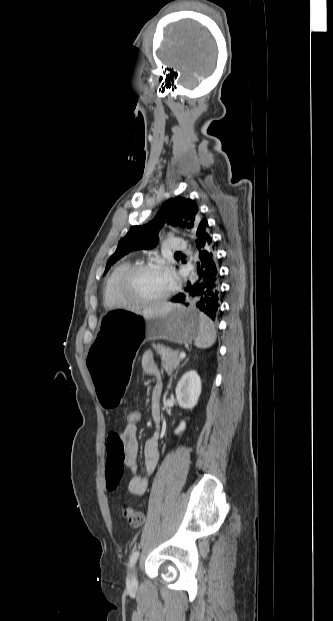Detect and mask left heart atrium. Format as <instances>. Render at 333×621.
I'll use <instances>...</instances> for the list:
<instances>
[{
  "label": "left heart atrium",
  "mask_w": 333,
  "mask_h": 621,
  "mask_svg": "<svg viewBox=\"0 0 333 621\" xmlns=\"http://www.w3.org/2000/svg\"><path fill=\"white\" fill-rule=\"evenodd\" d=\"M167 276H168L170 282L173 281V276L170 273H167Z\"/></svg>",
  "instance_id": "obj_1"
}]
</instances>
